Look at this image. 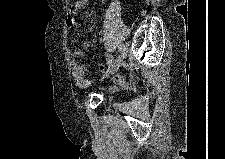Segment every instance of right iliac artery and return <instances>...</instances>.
I'll use <instances>...</instances> for the list:
<instances>
[{"mask_svg": "<svg viewBox=\"0 0 225 159\" xmlns=\"http://www.w3.org/2000/svg\"><path fill=\"white\" fill-rule=\"evenodd\" d=\"M118 49H119V51H121V50H122V46L120 45V46L118 47ZM109 63H110V61H109Z\"/></svg>", "mask_w": 225, "mask_h": 159, "instance_id": "82829eb1", "label": "right iliac artery"}]
</instances>
